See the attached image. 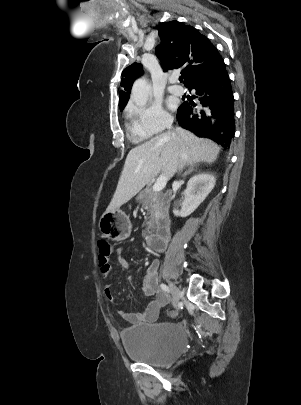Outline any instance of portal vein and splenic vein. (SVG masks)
Listing matches in <instances>:
<instances>
[{"instance_id":"portal-vein-and-splenic-vein-1","label":"portal vein and splenic vein","mask_w":301,"mask_h":405,"mask_svg":"<svg viewBox=\"0 0 301 405\" xmlns=\"http://www.w3.org/2000/svg\"><path fill=\"white\" fill-rule=\"evenodd\" d=\"M167 183V176L166 175H161L155 182V184L152 187V190L154 192H159L161 191Z\"/></svg>"}]
</instances>
